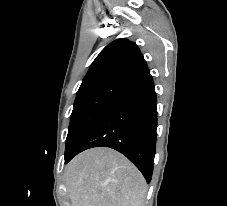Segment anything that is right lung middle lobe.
I'll use <instances>...</instances> for the list:
<instances>
[{
  "mask_svg": "<svg viewBox=\"0 0 227 206\" xmlns=\"http://www.w3.org/2000/svg\"><path fill=\"white\" fill-rule=\"evenodd\" d=\"M128 86L129 82L111 79L79 88L70 116L65 156L72 152L82 135L99 114L122 95Z\"/></svg>",
  "mask_w": 227,
  "mask_h": 206,
  "instance_id": "obj_1",
  "label": "right lung middle lobe"
}]
</instances>
